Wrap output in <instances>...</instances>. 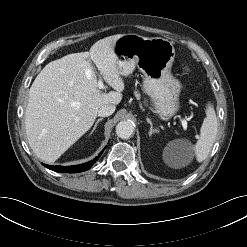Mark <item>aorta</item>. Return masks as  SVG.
Returning <instances> with one entry per match:
<instances>
[{
    "mask_svg": "<svg viewBox=\"0 0 247 247\" xmlns=\"http://www.w3.org/2000/svg\"><path fill=\"white\" fill-rule=\"evenodd\" d=\"M134 133V125L129 121H120L116 126V134L121 139H128Z\"/></svg>",
    "mask_w": 247,
    "mask_h": 247,
    "instance_id": "762f6f07",
    "label": "aorta"
}]
</instances>
